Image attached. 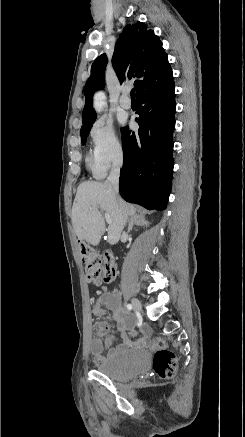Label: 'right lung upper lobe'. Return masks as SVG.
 <instances>
[{
    "mask_svg": "<svg viewBox=\"0 0 245 437\" xmlns=\"http://www.w3.org/2000/svg\"><path fill=\"white\" fill-rule=\"evenodd\" d=\"M106 64V54H102L91 66V76L84 87L82 127L95 121L96 113L92 108L93 94L104 86ZM112 65L120 83L136 79V96L174 81L162 42L154 31L142 22L129 24L124 28L115 46Z\"/></svg>",
    "mask_w": 245,
    "mask_h": 437,
    "instance_id": "cb5924a9",
    "label": "right lung upper lobe"
}]
</instances>
